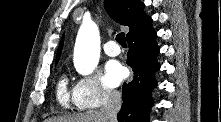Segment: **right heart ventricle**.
<instances>
[{
    "mask_svg": "<svg viewBox=\"0 0 221 122\" xmlns=\"http://www.w3.org/2000/svg\"><path fill=\"white\" fill-rule=\"evenodd\" d=\"M56 98L58 103L64 108H69L71 103H74L73 91L71 92L69 89L66 76H62L57 83Z\"/></svg>",
    "mask_w": 221,
    "mask_h": 122,
    "instance_id": "right-heart-ventricle-1",
    "label": "right heart ventricle"
}]
</instances>
